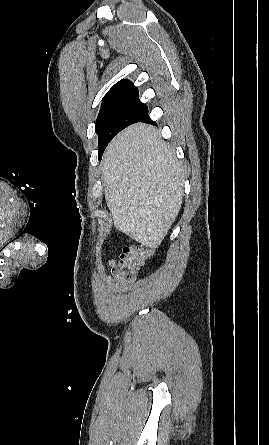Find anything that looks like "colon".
I'll use <instances>...</instances> for the list:
<instances>
[{
    "label": "colon",
    "mask_w": 269,
    "mask_h": 445,
    "mask_svg": "<svg viewBox=\"0 0 269 445\" xmlns=\"http://www.w3.org/2000/svg\"><path fill=\"white\" fill-rule=\"evenodd\" d=\"M152 256V250L142 244L130 245L123 249L119 262L114 268L116 279L127 283L134 279L136 271Z\"/></svg>",
    "instance_id": "colon-1"
}]
</instances>
